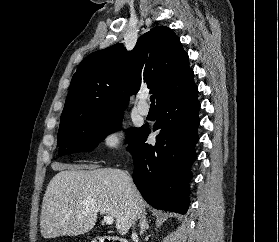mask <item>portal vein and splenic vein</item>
<instances>
[{
    "instance_id": "18ae733b",
    "label": "portal vein and splenic vein",
    "mask_w": 279,
    "mask_h": 242,
    "mask_svg": "<svg viewBox=\"0 0 279 242\" xmlns=\"http://www.w3.org/2000/svg\"><path fill=\"white\" fill-rule=\"evenodd\" d=\"M104 223L107 225H112L114 223V218L110 215H105L103 218Z\"/></svg>"
}]
</instances>
